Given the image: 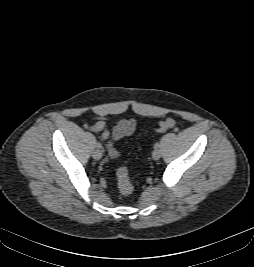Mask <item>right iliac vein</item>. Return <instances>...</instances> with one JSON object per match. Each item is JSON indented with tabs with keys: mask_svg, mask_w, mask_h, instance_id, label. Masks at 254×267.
<instances>
[{
	"mask_svg": "<svg viewBox=\"0 0 254 267\" xmlns=\"http://www.w3.org/2000/svg\"><path fill=\"white\" fill-rule=\"evenodd\" d=\"M93 158L95 160H99L101 157H102V152L100 149H96L93 151V154H92Z\"/></svg>",
	"mask_w": 254,
	"mask_h": 267,
	"instance_id": "1",
	"label": "right iliac vein"
}]
</instances>
